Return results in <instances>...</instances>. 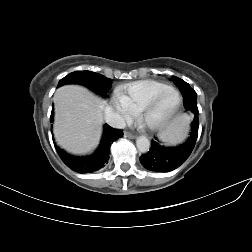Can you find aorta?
I'll return each mask as SVG.
<instances>
[{
	"instance_id": "obj_1",
	"label": "aorta",
	"mask_w": 252,
	"mask_h": 252,
	"mask_svg": "<svg viewBox=\"0 0 252 252\" xmlns=\"http://www.w3.org/2000/svg\"><path fill=\"white\" fill-rule=\"evenodd\" d=\"M136 145L138 150L142 153H146L150 149V141L144 136H140L137 138Z\"/></svg>"
}]
</instances>
